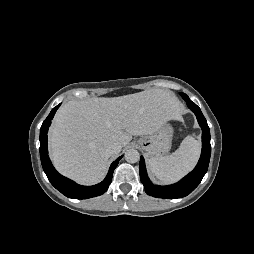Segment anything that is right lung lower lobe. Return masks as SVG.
I'll list each match as a JSON object with an SVG mask.
<instances>
[{
	"instance_id": "1",
	"label": "right lung lower lobe",
	"mask_w": 254,
	"mask_h": 254,
	"mask_svg": "<svg viewBox=\"0 0 254 254\" xmlns=\"http://www.w3.org/2000/svg\"><path fill=\"white\" fill-rule=\"evenodd\" d=\"M59 106L60 104L52 109V111L50 112V114L48 115V117L43 122L40 128V158H41L43 170L48 180L51 182V184L58 191L64 194L66 197L73 198V199H87V198L99 196L107 191L112 181L113 171L116 168L122 156H120L111 164L106 178L101 183L93 185V186L78 185L74 181L60 175L51 164V161L48 156V149H47L48 128Z\"/></svg>"
}]
</instances>
